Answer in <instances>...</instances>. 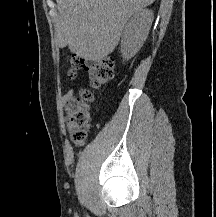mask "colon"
I'll return each instance as SVG.
<instances>
[{
  "instance_id": "1",
  "label": "colon",
  "mask_w": 216,
  "mask_h": 217,
  "mask_svg": "<svg viewBox=\"0 0 216 217\" xmlns=\"http://www.w3.org/2000/svg\"><path fill=\"white\" fill-rule=\"evenodd\" d=\"M82 59L75 56L70 60L68 76L74 79L77 71L82 67ZM90 85L99 88L114 76V63L111 58L93 61L88 66ZM94 99L92 90L83 88L74 95L71 109L67 116V129L75 146H82L85 142L87 130L90 127V104Z\"/></svg>"
}]
</instances>
